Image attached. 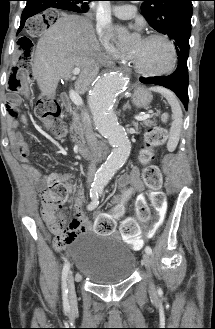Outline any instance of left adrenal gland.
I'll return each mask as SVG.
<instances>
[{"mask_svg": "<svg viewBox=\"0 0 215 329\" xmlns=\"http://www.w3.org/2000/svg\"><path fill=\"white\" fill-rule=\"evenodd\" d=\"M130 108L131 107H130L129 101H127L126 104L123 106V111H125L127 109L130 110Z\"/></svg>", "mask_w": 215, "mask_h": 329, "instance_id": "obj_1", "label": "left adrenal gland"}]
</instances>
